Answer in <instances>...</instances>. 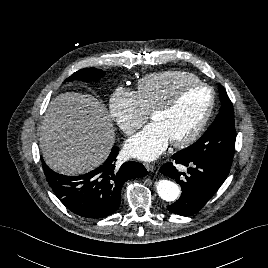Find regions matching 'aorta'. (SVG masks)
I'll return each mask as SVG.
<instances>
[{
    "instance_id": "obj_1",
    "label": "aorta",
    "mask_w": 268,
    "mask_h": 268,
    "mask_svg": "<svg viewBox=\"0 0 268 268\" xmlns=\"http://www.w3.org/2000/svg\"><path fill=\"white\" fill-rule=\"evenodd\" d=\"M156 190L158 195L168 202L175 201L181 192L180 187L176 183L166 179L156 182Z\"/></svg>"
}]
</instances>
